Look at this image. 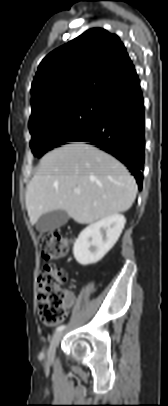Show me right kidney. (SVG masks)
Wrapping results in <instances>:
<instances>
[{
  "instance_id": "1",
  "label": "right kidney",
  "mask_w": 168,
  "mask_h": 406,
  "mask_svg": "<svg viewBox=\"0 0 168 406\" xmlns=\"http://www.w3.org/2000/svg\"><path fill=\"white\" fill-rule=\"evenodd\" d=\"M126 219L121 214L103 218L86 227L73 246V255L81 265L100 261L117 242Z\"/></svg>"
}]
</instances>
